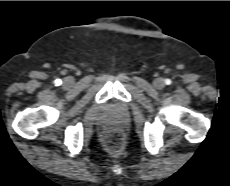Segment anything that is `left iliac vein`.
<instances>
[{
  "mask_svg": "<svg viewBox=\"0 0 230 186\" xmlns=\"http://www.w3.org/2000/svg\"><path fill=\"white\" fill-rule=\"evenodd\" d=\"M164 81H163V79L162 78H156L155 80H154V86L156 87V88H158V89H161V88H163L164 87Z\"/></svg>",
  "mask_w": 230,
  "mask_h": 186,
  "instance_id": "obj_1",
  "label": "left iliac vein"
}]
</instances>
